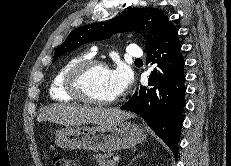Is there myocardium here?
<instances>
[{
    "instance_id": "obj_1",
    "label": "myocardium",
    "mask_w": 231,
    "mask_h": 166,
    "mask_svg": "<svg viewBox=\"0 0 231 166\" xmlns=\"http://www.w3.org/2000/svg\"><path fill=\"white\" fill-rule=\"evenodd\" d=\"M96 68L108 69V65L104 61L97 59H89L76 64L67 73L65 88L74 98L85 103L99 106L113 105L118 101V97L110 100H101L90 96L85 90L84 78L91 70Z\"/></svg>"
}]
</instances>
